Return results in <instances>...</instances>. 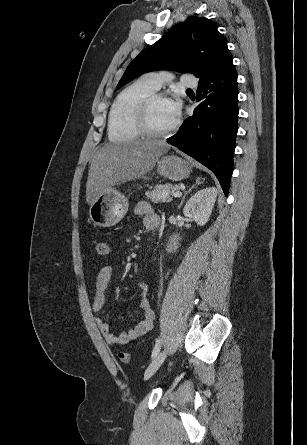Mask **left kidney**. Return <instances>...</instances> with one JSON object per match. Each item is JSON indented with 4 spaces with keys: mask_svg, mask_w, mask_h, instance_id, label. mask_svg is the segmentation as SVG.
<instances>
[{
    "mask_svg": "<svg viewBox=\"0 0 307 445\" xmlns=\"http://www.w3.org/2000/svg\"><path fill=\"white\" fill-rule=\"evenodd\" d=\"M217 196V188L215 186H207L195 192L189 200H187L184 208V216H190L196 220L197 225L203 227L209 220L214 202Z\"/></svg>",
    "mask_w": 307,
    "mask_h": 445,
    "instance_id": "1",
    "label": "left kidney"
}]
</instances>
